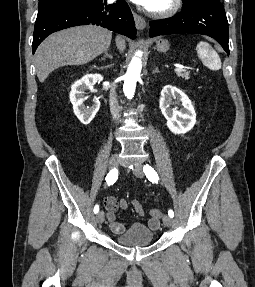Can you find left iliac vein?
Returning <instances> with one entry per match:
<instances>
[{
    "instance_id": "1",
    "label": "left iliac vein",
    "mask_w": 255,
    "mask_h": 287,
    "mask_svg": "<svg viewBox=\"0 0 255 287\" xmlns=\"http://www.w3.org/2000/svg\"><path fill=\"white\" fill-rule=\"evenodd\" d=\"M133 173L135 176L142 178L144 176L142 167L140 165H137L134 169H133ZM163 224L166 227H170L172 225V218L169 215H164L163 216Z\"/></svg>"
}]
</instances>
